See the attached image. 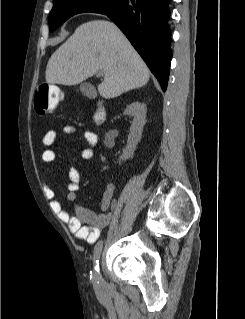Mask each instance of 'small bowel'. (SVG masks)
<instances>
[{
  "label": "small bowel",
  "instance_id": "c3829d8e",
  "mask_svg": "<svg viewBox=\"0 0 245 319\" xmlns=\"http://www.w3.org/2000/svg\"><path fill=\"white\" fill-rule=\"evenodd\" d=\"M64 132L66 134H75L76 128L72 125H67L64 127ZM56 137L57 133L55 130H48L43 136L42 143L46 149L42 153V161L45 164L53 163L56 158V152L50 148L55 143ZM81 137L88 144V147L82 151V158L90 159L94 153L93 148L98 143V137L96 133L91 130L83 131ZM68 177V200L72 204V212H68L63 208L61 201L55 198V192L49 185L45 186V196L51 200L52 210L58 215L60 220L67 223L75 237L78 240L93 244L99 238L102 231L108 226L112 218L109 208L114 193V185L111 183L107 184L101 201V213L96 214L81 206L78 202L76 192L81 183V175L78 169L73 166L69 167Z\"/></svg>",
  "mask_w": 245,
  "mask_h": 319
}]
</instances>
